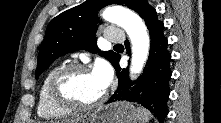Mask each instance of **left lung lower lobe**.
Returning a JSON list of instances; mask_svg holds the SVG:
<instances>
[{
  "instance_id": "1",
  "label": "left lung lower lobe",
  "mask_w": 221,
  "mask_h": 123,
  "mask_svg": "<svg viewBox=\"0 0 221 123\" xmlns=\"http://www.w3.org/2000/svg\"><path fill=\"white\" fill-rule=\"evenodd\" d=\"M144 19L150 33V55L142 75L134 82L128 79V70L119 66L120 55L113 62L118 76V88L107 103L115 101L137 102L149 109L160 120L167 116L169 97V67L171 54L167 50L168 41L163 35L164 24L157 19V13L148 3L138 13ZM127 53L130 45L125 42Z\"/></svg>"
}]
</instances>
